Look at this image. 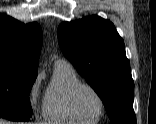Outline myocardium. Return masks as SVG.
Returning <instances> with one entry per match:
<instances>
[{
	"label": "myocardium",
	"mask_w": 156,
	"mask_h": 124,
	"mask_svg": "<svg viewBox=\"0 0 156 124\" xmlns=\"http://www.w3.org/2000/svg\"><path fill=\"white\" fill-rule=\"evenodd\" d=\"M83 90H88L91 93H93L99 100L100 105H101V110H100V114L97 116V118L89 120L87 119L79 110L78 108V104H77V100H78V96L79 94L83 91ZM69 102H70V107L74 113V115L79 118L82 121H86V122H94V121H99L105 112V100L103 98V96L92 86L88 85V84H84L81 83L79 85H77L76 87L73 88V90L70 93V98H69Z\"/></svg>",
	"instance_id": "myocardium-1"
}]
</instances>
